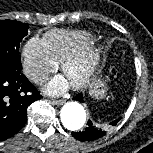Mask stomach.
<instances>
[{"label":"stomach","instance_id":"stomach-1","mask_svg":"<svg viewBox=\"0 0 153 153\" xmlns=\"http://www.w3.org/2000/svg\"><path fill=\"white\" fill-rule=\"evenodd\" d=\"M89 94L93 98H102L105 95V84L101 80H97L89 87Z\"/></svg>","mask_w":153,"mask_h":153}]
</instances>
